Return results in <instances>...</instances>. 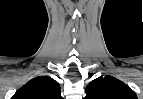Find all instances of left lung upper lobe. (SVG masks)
<instances>
[{
	"label": "left lung upper lobe",
	"mask_w": 143,
	"mask_h": 99,
	"mask_svg": "<svg viewBox=\"0 0 143 99\" xmlns=\"http://www.w3.org/2000/svg\"><path fill=\"white\" fill-rule=\"evenodd\" d=\"M85 99H138L135 92L112 76H100L86 87Z\"/></svg>",
	"instance_id": "left-lung-upper-lobe-1"
}]
</instances>
